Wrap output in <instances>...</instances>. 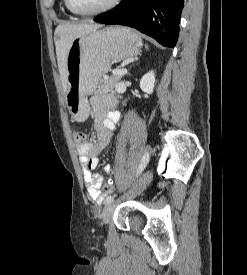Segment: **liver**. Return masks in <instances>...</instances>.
I'll list each match as a JSON object with an SVG mask.
<instances>
[{"label": "liver", "instance_id": "1", "mask_svg": "<svg viewBox=\"0 0 247 275\" xmlns=\"http://www.w3.org/2000/svg\"><path fill=\"white\" fill-rule=\"evenodd\" d=\"M101 27L102 25L100 24L82 22L76 24H60L55 29L57 63L63 91L65 93L68 89L66 59L72 42L74 39L96 31Z\"/></svg>", "mask_w": 247, "mask_h": 275}]
</instances>
